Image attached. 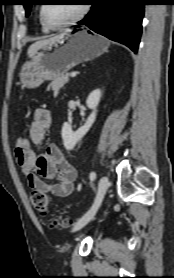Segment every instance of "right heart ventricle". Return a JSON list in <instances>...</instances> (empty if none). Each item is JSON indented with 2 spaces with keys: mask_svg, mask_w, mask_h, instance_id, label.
<instances>
[{
  "mask_svg": "<svg viewBox=\"0 0 174 278\" xmlns=\"http://www.w3.org/2000/svg\"><path fill=\"white\" fill-rule=\"evenodd\" d=\"M39 22H40V25H41L42 32L43 33H48L50 29L42 21L41 16H40V12H39Z\"/></svg>",
  "mask_w": 174,
  "mask_h": 278,
  "instance_id": "e07e8e85",
  "label": "right heart ventricle"
}]
</instances>
